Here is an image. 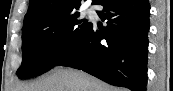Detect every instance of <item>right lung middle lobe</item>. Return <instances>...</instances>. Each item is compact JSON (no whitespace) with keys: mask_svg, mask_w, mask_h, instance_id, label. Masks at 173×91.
<instances>
[{"mask_svg":"<svg viewBox=\"0 0 173 91\" xmlns=\"http://www.w3.org/2000/svg\"><path fill=\"white\" fill-rule=\"evenodd\" d=\"M92 23L79 12L29 25L22 30V65L17 71L21 79L41 75L70 53L83 40Z\"/></svg>","mask_w":173,"mask_h":91,"instance_id":"obj_1","label":"right lung middle lobe"}]
</instances>
